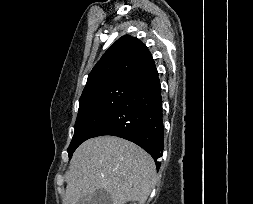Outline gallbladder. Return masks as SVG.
Segmentation results:
<instances>
[{"label": "gallbladder", "instance_id": "obj_1", "mask_svg": "<svg viewBox=\"0 0 253 204\" xmlns=\"http://www.w3.org/2000/svg\"><path fill=\"white\" fill-rule=\"evenodd\" d=\"M77 204H112V197L106 190L98 189L89 200L81 199Z\"/></svg>", "mask_w": 253, "mask_h": 204}]
</instances>
